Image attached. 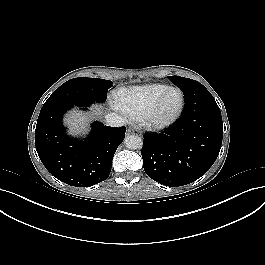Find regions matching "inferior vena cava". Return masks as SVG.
I'll return each instance as SVG.
<instances>
[{
    "label": "inferior vena cava",
    "instance_id": "1",
    "mask_svg": "<svg viewBox=\"0 0 265 265\" xmlns=\"http://www.w3.org/2000/svg\"><path fill=\"white\" fill-rule=\"evenodd\" d=\"M105 122L108 126L120 127L125 124V119L116 113H110L105 116Z\"/></svg>",
    "mask_w": 265,
    "mask_h": 265
}]
</instances>
